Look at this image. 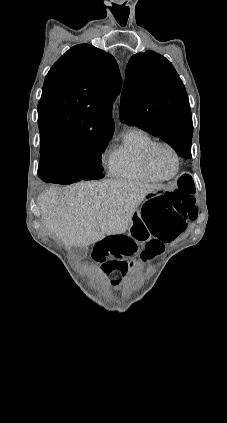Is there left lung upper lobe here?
I'll return each mask as SVG.
<instances>
[{
	"label": "left lung upper lobe",
	"mask_w": 227,
	"mask_h": 423,
	"mask_svg": "<svg viewBox=\"0 0 227 423\" xmlns=\"http://www.w3.org/2000/svg\"><path fill=\"white\" fill-rule=\"evenodd\" d=\"M119 115L122 123L139 126L170 146L192 141V115L184 84L170 61L156 52L130 58Z\"/></svg>",
	"instance_id": "5c2ea615"
}]
</instances>
